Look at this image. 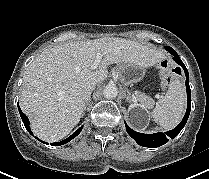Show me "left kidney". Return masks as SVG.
<instances>
[{"mask_svg":"<svg viewBox=\"0 0 209 179\" xmlns=\"http://www.w3.org/2000/svg\"><path fill=\"white\" fill-rule=\"evenodd\" d=\"M128 110L130 111L131 118L134 119V120L138 117V115H140V116H145L146 115L147 116V113H148L145 106L140 105V104H136V103L131 104L129 106Z\"/></svg>","mask_w":209,"mask_h":179,"instance_id":"1","label":"left kidney"}]
</instances>
